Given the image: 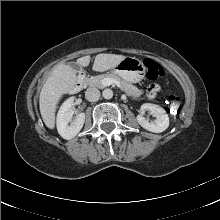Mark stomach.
Instances as JSON below:
<instances>
[{"label":"stomach","mask_w":220,"mask_h":220,"mask_svg":"<svg viewBox=\"0 0 220 220\" xmlns=\"http://www.w3.org/2000/svg\"><path fill=\"white\" fill-rule=\"evenodd\" d=\"M113 72L130 83L140 82L146 72L143 62L135 57H125L118 63Z\"/></svg>","instance_id":"obj_1"}]
</instances>
